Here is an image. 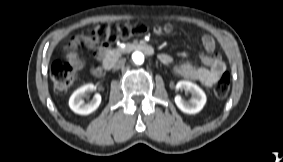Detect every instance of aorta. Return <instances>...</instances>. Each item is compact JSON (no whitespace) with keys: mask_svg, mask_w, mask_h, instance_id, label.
<instances>
[{"mask_svg":"<svg viewBox=\"0 0 283 162\" xmlns=\"http://www.w3.org/2000/svg\"><path fill=\"white\" fill-rule=\"evenodd\" d=\"M132 61L137 64V65H141L144 62V55L143 53L139 52V51H135L132 54Z\"/></svg>","mask_w":283,"mask_h":162,"instance_id":"aorta-1","label":"aorta"}]
</instances>
